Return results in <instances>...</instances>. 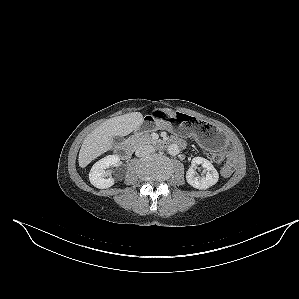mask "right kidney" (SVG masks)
Here are the masks:
<instances>
[{"mask_svg":"<svg viewBox=\"0 0 299 299\" xmlns=\"http://www.w3.org/2000/svg\"><path fill=\"white\" fill-rule=\"evenodd\" d=\"M120 158L117 155H108L96 162L89 173V180L99 189L109 188L114 185V178L105 171L109 166H118ZM109 176V177H108Z\"/></svg>","mask_w":299,"mask_h":299,"instance_id":"obj_1","label":"right kidney"}]
</instances>
